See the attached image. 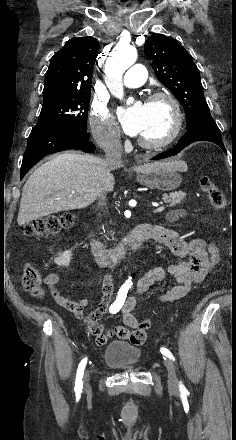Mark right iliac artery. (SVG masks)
<instances>
[{
    "instance_id": "obj_1",
    "label": "right iliac artery",
    "mask_w": 236,
    "mask_h": 440,
    "mask_svg": "<svg viewBox=\"0 0 236 440\" xmlns=\"http://www.w3.org/2000/svg\"><path fill=\"white\" fill-rule=\"evenodd\" d=\"M128 290H129V286H127V285L121 286V288L118 291V295H117L115 302L113 304H111V306L109 308L110 313L116 314L117 312H119V310L122 308V306L125 302ZM86 364H87V358H84L78 366L75 387H74V391L76 393H80L82 391V388H83L82 378H83V373H84V369H85Z\"/></svg>"
}]
</instances>
